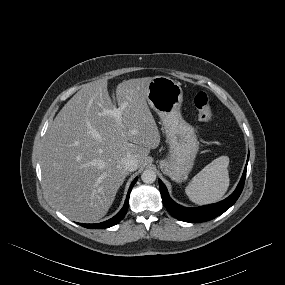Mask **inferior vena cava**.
<instances>
[{
    "instance_id": "inferior-vena-cava-1",
    "label": "inferior vena cava",
    "mask_w": 285,
    "mask_h": 285,
    "mask_svg": "<svg viewBox=\"0 0 285 285\" xmlns=\"http://www.w3.org/2000/svg\"><path fill=\"white\" fill-rule=\"evenodd\" d=\"M121 165L128 171H135L138 168V160L133 155H127L121 159Z\"/></svg>"
}]
</instances>
